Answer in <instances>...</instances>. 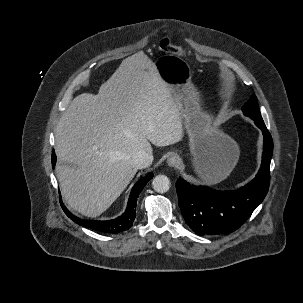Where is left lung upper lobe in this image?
I'll return each instance as SVG.
<instances>
[{
  "mask_svg": "<svg viewBox=\"0 0 303 303\" xmlns=\"http://www.w3.org/2000/svg\"><path fill=\"white\" fill-rule=\"evenodd\" d=\"M242 110L244 114L246 116H249L251 119L264 123L260 114L257 98L255 95L251 96L249 101L243 106Z\"/></svg>",
  "mask_w": 303,
  "mask_h": 303,
  "instance_id": "1",
  "label": "left lung upper lobe"
}]
</instances>
